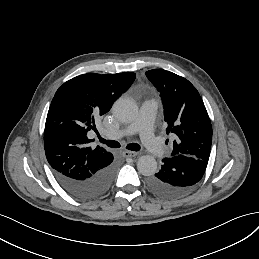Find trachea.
Instances as JSON below:
<instances>
[{"mask_svg":"<svg viewBox=\"0 0 259 259\" xmlns=\"http://www.w3.org/2000/svg\"><path fill=\"white\" fill-rule=\"evenodd\" d=\"M98 139L101 143L103 144H106L108 147L110 148H120V143L117 142V141H114V140H106L104 138H102L99 134H98ZM126 148L128 150H132V151H139L141 149L140 145L137 144V143H131V144H128L126 146Z\"/></svg>","mask_w":259,"mask_h":259,"instance_id":"3493384b","label":"trachea"}]
</instances>
